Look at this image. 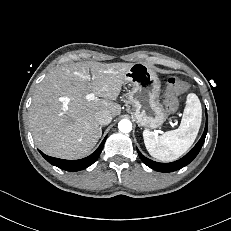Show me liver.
I'll return each instance as SVG.
<instances>
[{"instance_id":"liver-1","label":"liver","mask_w":231,"mask_h":231,"mask_svg":"<svg viewBox=\"0 0 231 231\" xmlns=\"http://www.w3.org/2000/svg\"><path fill=\"white\" fill-rule=\"evenodd\" d=\"M132 65L77 62L52 70L37 86L28 113L37 147L68 160L89 154L102 135L95 114L100 110L113 117L120 113V105L113 101ZM89 92L103 99L89 101L85 98Z\"/></svg>"}]
</instances>
